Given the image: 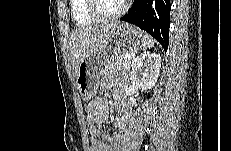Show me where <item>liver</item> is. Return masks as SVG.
Returning a JSON list of instances; mask_svg holds the SVG:
<instances>
[{
	"instance_id": "obj_1",
	"label": "liver",
	"mask_w": 231,
	"mask_h": 151,
	"mask_svg": "<svg viewBox=\"0 0 231 151\" xmlns=\"http://www.w3.org/2000/svg\"><path fill=\"white\" fill-rule=\"evenodd\" d=\"M118 24L119 22L104 23L94 27H79L72 31L70 51L76 73L82 59L91 52L103 47Z\"/></svg>"
}]
</instances>
